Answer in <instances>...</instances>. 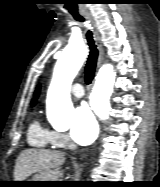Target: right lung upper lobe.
Returning a JSON list of instances; mask_svg holds the SVG:
<instances>
[{
  "label": "right lung upper lobe",
  "instance_id": "1",
  "mask_svg": "<svg viewBox=\"0 0 160 187\" xmlns=\"http://www.w3.org/2000/svg\"><path fill=\"white\" fill-rule=\"evenodd\" d=\"M39 93H40V85H38L35 93H34V98L32 99V106H34L36 104V101H37V98L39 96Z\"/></svg>",
  "mask_w": 160,
  "mask_h": 187
}]
</instances>
